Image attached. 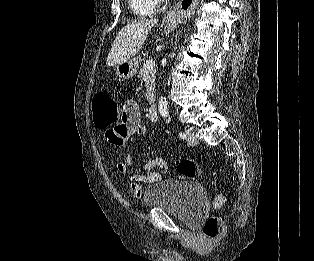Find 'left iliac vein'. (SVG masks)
Returning a JSON list of instances; mask_svg holds the SVG:
<instances>
[{
  "label": "left iliac vein",
  "instance_id": "1",
  "mask_svg": "<svg viewBox=\"0 0 314 261\" xmlns=\"http://www.w3.org/2000/svg\"><path fill=\"white\" fill-rule=\"evenodd\" d=\"M187 142L189 145L195 146L198 144V140L194 133L187 132Z\"/></svg>",
  "mask_w": 314,
  "mask_h": 261
}]
</instances>
